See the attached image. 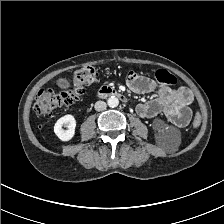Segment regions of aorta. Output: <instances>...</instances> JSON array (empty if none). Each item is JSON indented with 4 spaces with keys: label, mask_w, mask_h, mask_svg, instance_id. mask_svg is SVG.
Wrapping results in <instances>:
<instances>
[{
    "label": "aorta",
    "mask_w": 224,
    "mask_h": 224,
    "mask_svg": "<svg viewBox=\"0 0 224 224\" xmlns=\"http://www.w3.org/2000/svg\"><path fill=\"white\" fill-rule=\"evenodd\" d=\"M107 103L109 107L114 108L119 105V100L117 97L111 96L110 98H108Z\"/></svg>",
    "instance_id": "aorta-1"
}]
</instances>
